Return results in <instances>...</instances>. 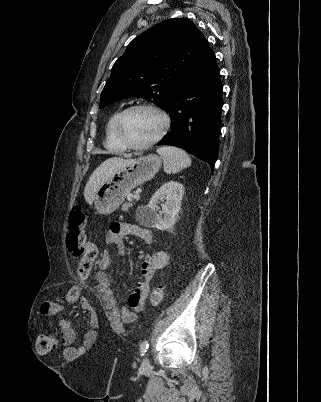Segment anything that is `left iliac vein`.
I'll use <instances>...</instances> for the list:
<instances>
[{
  "label": "left iliac vein",
  "mask_w": 321,
  "mask_h": 402,
  "mask_svg": "<svg viewBox=\"0 0 321 402\" xmlns=\"http://www.w3.org/2000/svg\"><path fill=\"white\" fill-rule=\"evenodd\" d=\"M142 366H143L144 368H148V367L150 366V363H149V360L147 359V357H144V358H143Z\"/></svg>",
  "instance_id": "1"
}]
</instances>
